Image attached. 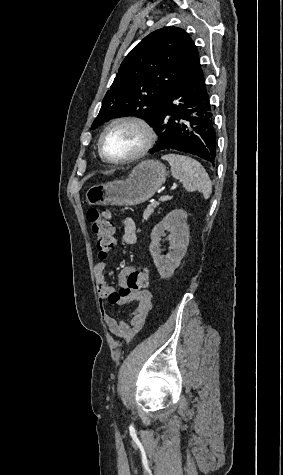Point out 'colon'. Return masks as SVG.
<instances>
[{"mask_svg": "<svg viewBox=\"0 0 283 475\" xmlns=\"http://www.w3.org/2000/svg\"><path fill=\"white\" fill-rule=\"evenodd\" d=\"M87 217L95 236L98 257L105 259L115 246V228L106 210L90 208ZM149 279L150 272L148 268L140 267L130 272L127 276V286L120 289V296L127 295L132 291L139 293L140 290H146Z\"/></svg>", "mask_w": 283, "mask_h": 475, "instance_id": "1", "label": "colon"}]
</instances>
